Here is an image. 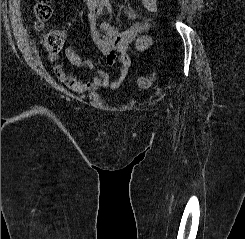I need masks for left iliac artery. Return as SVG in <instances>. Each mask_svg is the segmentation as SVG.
Wrapping results in <instances>:
<instances>
[{
	"mask_svg": "<svg viewBox=\"0 0 245 239\" xmlns=\"http://www.w3.org/2000/svg\"><path fill=\"white\" fill-rule=\"evenodd\" d=\"M105 6H106V8H107V10H108L109 13H112L113 12V8H112V5L109 2V0H106L105 1Z\"/></svg>",
	"mask_w": 245,
	"mask_h": 239,
	"instance_id": "44dca946",
	"label": "left iliac artery"
}]
</instances>
